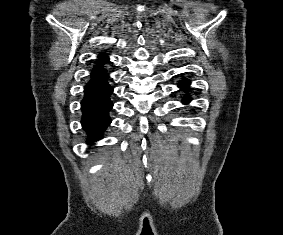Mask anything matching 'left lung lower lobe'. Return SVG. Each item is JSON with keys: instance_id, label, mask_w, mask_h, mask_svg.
Instances as JSON below:
<instances>
[{"instance_id": "left-lung-lower-lobe-1", "label": "left lung lower lobe", "mask_w": 283, "mask_h": 235, "mask_svg": "<svg viewBox=\"0 0 283 235\" xmlns=\"http://www.w3.org/2000/svg\"><path fill=\"white\" fill-rule=\"evenodd\" d=\"M190 82L188 80H183L179 87L182 88L183 90H187L188 89V86H189ZM190 97H187L183 100L184 103H188L190 101Z\"/></svg>"}]
</instances>
